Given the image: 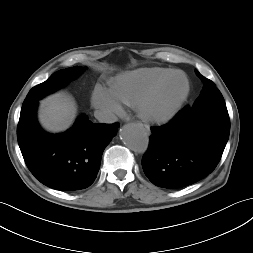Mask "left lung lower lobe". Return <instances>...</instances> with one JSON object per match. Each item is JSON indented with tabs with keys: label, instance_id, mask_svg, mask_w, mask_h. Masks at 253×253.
Masks as SVG:
<instances>
[{
	"label": "left lung lower lobe",
	"instance_id": "obj_1",
	"mask_svg": "<svg viewBox=\"0 0 253 253\" xmlns=\"http://www.w3.org/2000/svg\"><path fill=\"white\" fill-rule=\"evenodd\" d=\"M142 167L149 180L176 189L203 179L217 166L230 132L226 106L189 107L161 127L151 128Z\"/></svg>",
	"mask_w": 253,
	"mask_h": 253
}]
</instances>
